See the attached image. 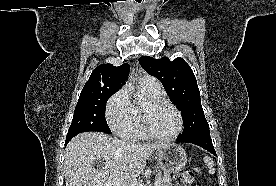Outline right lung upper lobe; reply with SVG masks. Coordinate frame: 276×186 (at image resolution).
<instances>
[{
  "mask_svg": "<svg viewBox=\"0 0 276 186\" xmlns=\"http://www.w3.org/2000/svg\"><path fill=\"white\" fill-rule=\"evenodd\" d=\"M129 75L127 63L115 67L112 64H102L94 69L82 91L112 90L118 91Z\"/></svg>",
  "mask_w": 276,
  "mask_h": 186,
  "instance_id": "cb5924a9",
  "label": "right lung upper lobe"
}]
</instances>
